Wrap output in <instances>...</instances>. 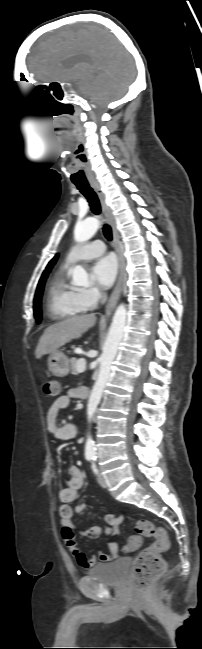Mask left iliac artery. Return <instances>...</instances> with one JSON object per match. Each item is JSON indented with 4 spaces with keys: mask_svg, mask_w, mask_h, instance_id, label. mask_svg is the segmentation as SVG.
<instances>
[{
    "mask_svg": "<svg viewBox=\"0 0 202 649\" xmlns=\"http://www.w3.org/2000/svg\"><path fill=\"white\" fill-rule=\"evenodd\" d=\"M93 460H95V458H93ZM92 469H93V471H94L95 473H97V472H98V470H97V468H96V466H95V464H94V463L92 464Z\"/></svg>",
    "mask_w": 202,
    "mask_h": 649,
    "instance_id": "44dca946",
    "label": "left iliac artery"
}]
</instances>
